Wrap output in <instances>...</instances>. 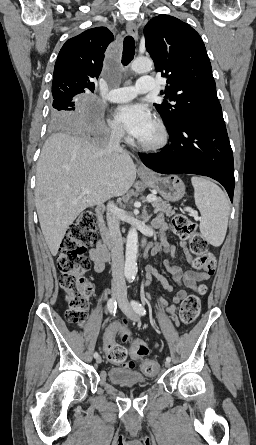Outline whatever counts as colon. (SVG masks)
Returning <instances> with one entry per match:
<instances>
[{
    "label": "colon",
    "instance_id": "1",
    "mask_svg": "<svg viewBox=\"0 0 256 445\" xmlns=\"http://www.w3.org/2000/svg\"><path fill=\"white\" fill-rule=\"evenodd\" d=\"M97 212L95 208L84 210L69 227L62 240L57 264L60 271L59 285L65 293L67 301V319L77 325L84 322L88 300L92 292V285L84 276L89 268V262L84 257L86 249L96 239ZM172 230L178 237L189 241L191 253L195 256L194 265L213 274L216 267V256L210 250L208 242L200 234L196 224L185 214H175L171 221ZM206 286L200 284L196 293L188 295L182 302L179 317L183 324H191L197 318L201 301L200 297L206 293ZM127 323V321H124ZM107 358L113 363H123L126 359V349L120 343L110 344L105 348ZM130 356L140 359L148 353V347L141 340L131 342ZM159 365L155 361H146L143 372L147 376L157 373Z\"/></svg>",
    "mask_w": 256,
    "mask_h": 445
}]
</instances>
